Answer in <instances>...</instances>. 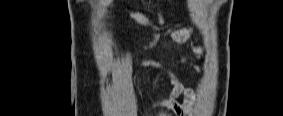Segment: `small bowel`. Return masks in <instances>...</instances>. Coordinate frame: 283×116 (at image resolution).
I'll return each mask as SVG.
<instances>
[{
	"instance_id": "small-bowel-1",
	"label": "small bowel",
	"mask_w": 283,
	"mask_h": 116,
	"mask_svg": "<svg viewBox=\"0 0 283 116\" xmlns=\"http://www.w3.org/2000/svg\"><path fill=\"white\" fill-rule=\"evenodd\" d=\"M126 15L129 19L139 23L140 25L148 27L152 30L151 38L142 47V49L146 50L155 46L160 36L159 29L156 26L155 22L148 16L135 11H128L126 12ZM189 36H190V30L186 28L180 29L173 34V38L177 42H181V43L185 42L189 38ZM193 51L197 56H201L204 52V48L200 43H195L193 46ZM171 80L173 84V89L170 93V97L171 98H176L178 96L184 97L183 104L175 106L176 112L181 115H193L192 114V107L194 101L193 92L190 89L183 87L180 84L179 80L173 74H171Z\"/></svg>"
}]
</instances>
